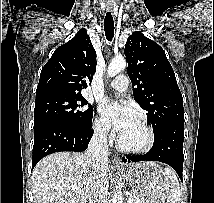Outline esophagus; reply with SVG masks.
Returning a JSON list of instances; mask_svg holds the SVG:
<instances>
[{"mask_svg": "<svg viewBox=\"0 0 214 203\" xmlns=\"http://www.w3.org/2000/svg\"><path fill=\"white\" fill-rule=\"evenodd\" d=\"M106 9H107V11H112V6H111V5H108ZM112 162H113V164H114L116 167H120V166H121V164H120V158H119L118 155H113V156H112Z\"/></svg>", "mask_w": 214, "mask_h": 203, "instance_id": "obj_1", "label": "esophagus"}]
</instances>
